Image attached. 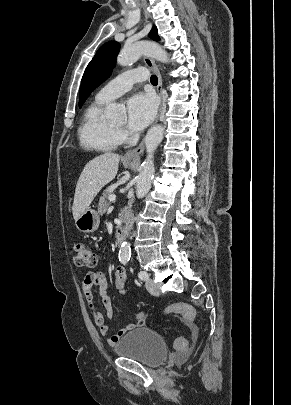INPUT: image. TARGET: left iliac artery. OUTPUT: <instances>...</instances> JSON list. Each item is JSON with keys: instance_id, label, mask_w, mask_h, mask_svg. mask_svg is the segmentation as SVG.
I'll list each match as a JSON object with an SVG mask.
<instances>
[{"instance_id": "1", "label": "left iliac artery", "mask_w": 291, "mask_h": 405, "mask_svg": "<svg viewBox=\"0 0 291 405\" xmlns=\"http://www.w3.org/2000/svg\"><path fill=\"white\" fill-rule=\"evenodd\" d=\"M138 277H139V279H141V280H146V279H148V273L145 272V271H140V272L138 273Z\"/></svg>"}]
</instances>
